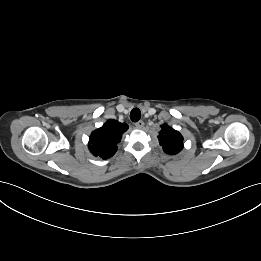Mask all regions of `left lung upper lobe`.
Instances as JSON below:
<instances>
[{
	"instance_id": "5c2ea615",
	"label": "left lung upper lobe",
	"mask_w": 261,
	"mask_h": 261,
	"mask_svg": "<svg viewBox=\"0 0 261 261\" xmlns=\"http://www.w3.org/2000/svg\"><path fill=\"white\" fill-rule=\"evenodd\" d=\"M158 139L164 152L167 154L175 155L183 148L182 135L168 125L161 126Z\"/></svg>"
}]
</instances>
